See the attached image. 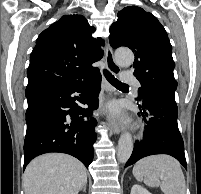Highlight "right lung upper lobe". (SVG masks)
<instances>
[{"label":"right lung upper lobe","mask_w":201,"mask_h":194,"mask_svg":"<svg viewBox=\"0 0 201 194\" xmlns=\"http://www.w3.org/2000/svg\"><path fill=\"white\" fill-rule=\"evenodd\" d=\"M82 15H65L37 38L27 70L28 85L72 86L87 80L98 68L92 67L103 56L102 39Z\"/></svg>","instance_id":"obj_1"}]
</instances>
